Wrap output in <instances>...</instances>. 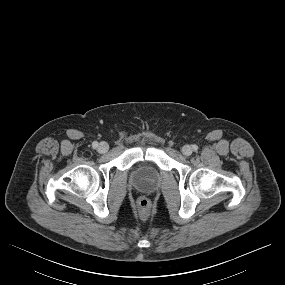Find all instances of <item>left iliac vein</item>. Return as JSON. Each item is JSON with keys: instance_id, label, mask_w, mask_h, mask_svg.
<instances>
[{"instance_id": "4c4485c4", "label": "left iliac vein", "mask_w": 285, "mask_h": 285, "mask_svg": "<svg viewBox=\"0 0 285 285\" xmlns=\"http://www.w3.org/2000/svg\"><path fill=\"white\" fill-rule=\"evenodd\" d=\"M182 153L185 155V156H190L192 154V148L191 146L189 145H184L182 147Z\"/></svg>"}]
</instances>
